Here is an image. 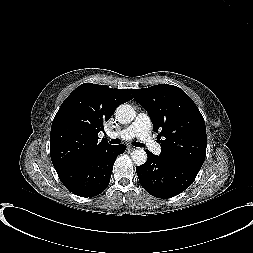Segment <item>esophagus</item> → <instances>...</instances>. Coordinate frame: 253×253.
Here are the masks:
<instances>
[{"mask_svg": "<svg viewBox=\"0 0 253 253\" xmlns=\"http://www.w3.org/2000/svg\"><path fill=\"white\" fill-rule=\"evenodd\" d=\"M127 149H128L129 151H132V150H135L136 148H135L134 146L128 145V146H127Z\"/></svg>", "mask_w": 253, "mask_h": 253, "instance_id": "1", "label": "esophagus"}]
</instances>
